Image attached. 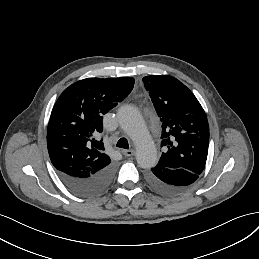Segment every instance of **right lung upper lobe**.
Segmentation results:
<instances>
[{
  "instance_id": "right-lung-upper-lobe-1",
  "label": "right lung upper lobe",
  "mask_w": 259,
  "mask_h": 259,
  "mask_svg": "<svg viewBox=\"0 0 259 259\" xmlns=\"http://www.w3.org/2000/svg\"><path fill=\"white\" fill-rule=\"evenodd\" d=\"M134 78H87L69 86L58 98L47 129L53 166L74 177H89L111 163L99 133L103 115L123 101Z\"/></svg>"
}]
</instances>
